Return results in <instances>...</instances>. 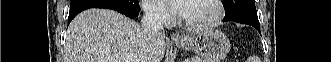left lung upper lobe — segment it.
I'll use <instances>...</instances> for the list:
<instances>
[{
  "mask_svg": "<svg viewBox=\"0 0 331 62\" xmlns=\"http://www.w3.org/2000/svg\"><path fill=\"white\" fill-rule=\"evenodd\" d=\"M222 3L226 8L225 17L236 15L257 17L255 0H223Z\"/></svg>",
  "mask_w": 331,
  "mask_h": 62,
  "instance_id": "1",
  "label": "left lung upper lobe"
}]
</instances>
